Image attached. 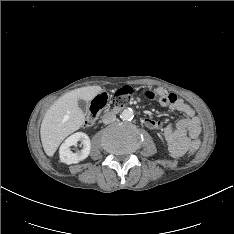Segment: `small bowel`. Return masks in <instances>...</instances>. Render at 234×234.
<instances>
[{
    "label": "small bowel",
    "mask_w": 234,
    "mask_h": 234,
    "mask_svg": "<svg viewBox=\"0 0 234 234\" xmlns=\"http://www.w3.org/2000/svg\"><path fill=\"white\" fill-rule=\"evenodd\" d=\"M157 93L159 94L158 103L162 107H168L185 116L176 125L168 124L163 129L164 140L170 153L176 157H182L185 152H188V147L193 141L198 140L201 131L200 121L195 116L194 109L176 94L163 90ZM144 122L151 129L162 127L161 121L146 118Z\"/></svg>",
    "instance_id": "1"
}]
</instances>
